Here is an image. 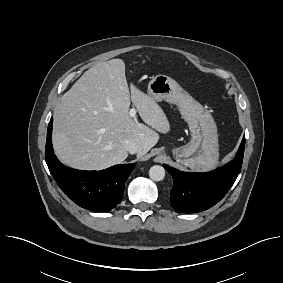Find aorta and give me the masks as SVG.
<instances>
[{
  "mask_svg": "<svg viewBox=\"0 0 283 283\" xmlns=\"http://www.w3.org/2000/svg\"><path fill=\"white\" fill-rule=\"evenodd\" d=\"M149 176L153 181H162L165 177V169L160 165H154L149 170Z\"/></svg>",
  "mask_w": 283,
  "mask_h": 283,
  "instance_id": "1",
  "label": "aorta"
}]
</instances>
